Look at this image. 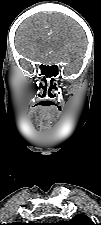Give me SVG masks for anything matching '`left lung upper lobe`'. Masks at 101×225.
<instances>
[{
	"label": "left lung upper lobe",
	"instance_id": "obj_1",
	"mask_svg": "<svg viewBox=\"0 0 101 225\" xmlns=\"http://www.w3.org/2000/svg\"><path fill=\"white\" fill-rule=\"evenodd\" d=\"M54 225H95V224L86 215L79 214L69 221H59Z\"/></svg>",
	"mask_w": 101,
	"mask_h": 225
}]
</instances>
